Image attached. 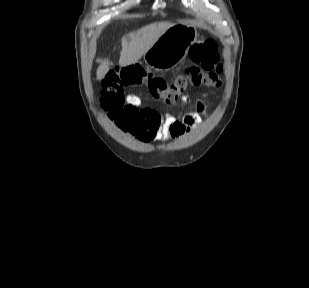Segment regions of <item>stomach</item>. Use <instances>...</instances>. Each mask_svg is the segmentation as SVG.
<instances>
[{
    "label": "stomach",
    "mask_w": 309,
    "mask_h": 288,
    "mask_svg": "<svg viewBox=\"0 0 309 288\" xmlns=\"http://www.w3.org/2000/svg\"><path fill=\"white\" fill-rule=\"evenodd\" d=\"M197 41L196 28L186 22L176 23L166 30L144 54L145 63L156 71L177 66Z\"/></svg>",
    "instance_id": "obj_1"
}]
</instances>
